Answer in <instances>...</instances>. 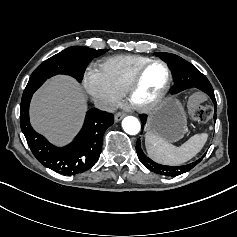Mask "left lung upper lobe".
Returning a JSON list of instances; mask_svg holds the SVG:
<instances>
[{"label": "left lung upper lobe", "instance_id": "obj_1", "mask_svg": "<svg viewBox=\"0 0 237 237\" xmlns=\"http://www.w3.org/2000/svg\"><path fill=\"white\" fill-rule=\"evenodd\" d=\"M155 54L165 62H167L169 67L173 71L175 84L171 90L172 94H177L189 88H197L205 93H207L209 90H213L209 80L198 69H196V67H194L186 60L171 53L158 52ZM146 118V115L140 116L143 124H145ZM136 152L141 163L150 171H154L155 173L160 175L173 177L191 170L202 160L201 158L193 163L177 167L160 165L149 159L143 153L140 147V140H137L136 142Z\"/></svg>", "mask_w": 237, "mask_h": 237}]
</instances>
